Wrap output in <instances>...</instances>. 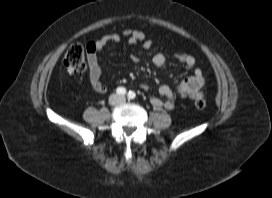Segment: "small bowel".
<instances>
[{
	"mask_svg": "<svg viewBox=\"0 0 272 198\" xmlns=\"http://www.w3.org/2000/svg\"><path fill=\"white\" fill-rule=\"evenodd\" d=\"M122 37H127L132 44H142L145 49H150L153 45L150 40L146 39L142 31L131 29H125L120 34H111L97 40L89 41L86 44L88 79L91 88L96 93L103 94L108 90V86L101 80V68L98 62V55L109 43H117ZM175 58L181 65L193 69V74L181 81L176 91L167 85L160 86L158 94L160 97L165 98V100L159 97H152L150 102L154 107L172 110L175 106L174 99L176 93L189 99H195L203 95L204 75L199 67H195V58L184 52L176 53ZM131 59L134 63L138 62L136 56H132ZM153 63L158 68H164L167 64L166 55L163 52L156 53L153 56ZM139 87L143 90L147 89V85L145 84H140Z\"/></svg>",
	"mask_w": 272,
	"mask_h": 198,
	"instance_id": "1",
	"label": "small bowel"
}]
</instances>
